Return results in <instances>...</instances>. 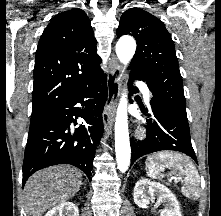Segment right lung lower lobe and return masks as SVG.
Masks as SVG:
<instances>
[{
  "label": "right lung lower lobe",
  "mask_w": 221,
  "mask_h": 216,
  "mask_svg": "<svg viewBox=\"0 0 221 216\" xmlns=\"http://www.w3.org/2000/svg\"><path fill=\"white\" fill-rule=\"evenodd\" d=\"M107 80L100 77L78 94L45 112L42 122L29 132L23 162V185L36 171L57 164H71L91 180L93 158L102 132V111L107 99ZM81 103L82 108L76 104ZM73 116L85 125H77Z\"/></svg>",
  "instance_id": "98d812e1"
}]
</instances>
